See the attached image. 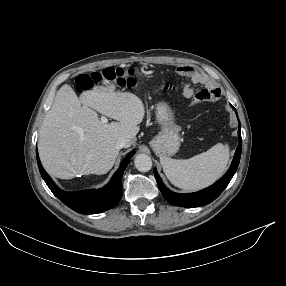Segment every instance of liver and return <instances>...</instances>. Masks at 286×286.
<instances>
[{"mask_svg": "<svg viewBox=\"0 0 286 286\" xmlns=\"http://www.w3.org/2000/svg\"><path fill=\"white\" fill-rule=\"evenodd\" d=\"M96 111L118 122L102 123ZM144 115L143 102L130 92L95 87L78 98L65 84L39 132L41 162L48 173L61 179L105 174L119 154L117 140L126 139L130 147Z\"/></svg>", "mask_w": 286, "mask_h": 286, "instance_id": "6515ba94", "label": "liver"}]
</instances>
